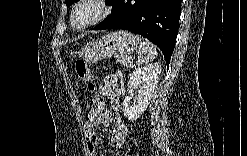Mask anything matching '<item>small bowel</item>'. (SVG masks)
Segmentation results:
<instances>
[{"instance_id": "1", "label": "small bowel", "mask_w": 247, "mask_h": 156, "mask_svg": "<svg viewBox=\"0 0 247 156\" xmlns=\"http://www.w3.org/2000/svg\"><path fill=\"white\" fill-rule=\"evenodd\" d=\"M119 96L120 87L117 77L115 75L106 76L99 87V98H106L111 101V112L107 113L105 111L106 103H103L100 112L90 111L88 119L83 126L88 152L91 156L96 155L95 147L100 143V139L94 132L95 128L111 122L115 123V127L112 130V136L117 148L123 149L125 147L129 134V128L126 122L121 118L119 112ZM93 113L97 114L96 118L92 117Z\"/></svg>"}]
</instances>
